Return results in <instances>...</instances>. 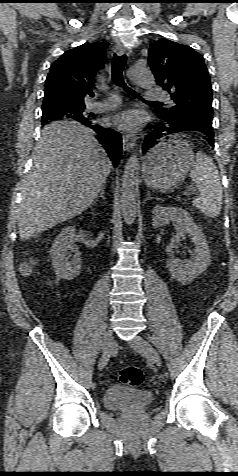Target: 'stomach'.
Wrapping results in <instances>:
<instances>
[{"label": "stomach", "instance_id": "1", "mask_svg": "<svg viewBox=\"0 0 238 476\" xmlns=\"http://www.w3.org/2000/svg\"><path fill=\"white\" fill-rule=\"evenodd\" d=\"M194 162L192 148L178 135L163 139L146 155L142 174L146 184L165 192L175 189Z\"/></svg>", "mask_w": 238, "mask_h": 476}]
</instances>
